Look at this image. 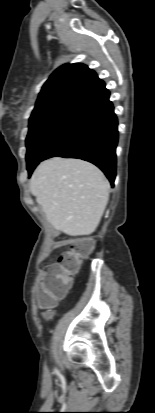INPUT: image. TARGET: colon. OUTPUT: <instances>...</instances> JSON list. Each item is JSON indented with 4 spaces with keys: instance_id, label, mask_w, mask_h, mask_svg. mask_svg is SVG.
<instances>
[{
    "instance_id": "5ec220e1",
    "label": "colon",
    "mask_w": 155,
    "mask_h": 413,
    "mask_svg": "<svg viewBox=\"0 0 155 413\" xmlns=\"http://www.w3.org/2000/svg\"><path fill=\"white\" fill-rule=\"evenodd\" d=\"M93 248L91 240H79L71 244L63 252L57 264L52 266L46 274L43 285L44 294L42 303L49 306L54 304L71 283L73 275L78 271L81 260L88 256Z\"/></svg>"
}]
</instances>
